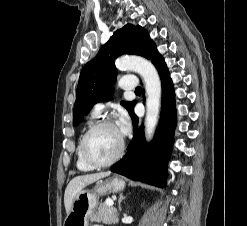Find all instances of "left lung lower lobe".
<instances>
[{
	"instance_id": "0a47b994",
	"label": "left lung lower lobe",
	"mask_w": 247,
	"mask_h": 226,
	"mask_svg": "<svg viewBox=\"0 0 247 226\" xmlns=\"http://www.w3.org/2000/svg\"><path fill=\"white\" fill-rule=\"evenodd\" d=\"M152 63L157 68L162 81V115L156 135L147 145L143 126L138 128V118L133 112L131 114L134 126L133 139L126 155L112 166L111 171L135 181L164 187L176 125L175 94L161 54L157 52L152 58Z\"/></svg>"
}]
</instances>
